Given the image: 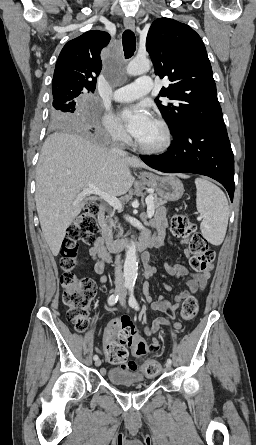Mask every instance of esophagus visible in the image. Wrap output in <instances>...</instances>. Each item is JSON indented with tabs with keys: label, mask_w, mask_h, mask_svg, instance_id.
<instances>
[{
	"label": "esophagus",
	"mask_w": 256,
	"mask_h": 445,
	"mask_svg": "<svg viewBox=\"0 0 256 445\" xmlns=\"http://www.w3.org/2000/svg\"><path fill=\"white\" fill-rule=\"evenodd\" d=\"M124 25L127 29L135 30V21L132 18H124Z\"/></svg>",
	"instance_id": "esophagus-1"
}]
</instances>
